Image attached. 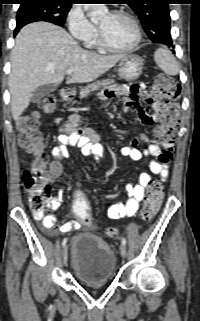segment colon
<instances>
[{"label": "colon", "instance_id": "obj_1", "mask_svg": "<svg viewBox=\"0 0 200 321\" xmlns=\"http://www.w3.org/2000/svg\"><path fill=\"white\" fill-rule=\"evenodd\" d=\"M179 96L180 86L178 83L162 73L155 77L151 91L145 94V98L149 101L159 102L165 108L163 122L157 127V136L167 145L165 151L166 159H171L172 157V146L179 122L178 108L174 101ZM55 104V98L47 96L41 101L40 107L45 113H51L55 109ZM18 128L20 145L33 156L29 167L23 171V187L28 195L31 211L35 216L43 217L47 213L51 182L57 173V168L53 163L49 162L43 152L37 116L23 117L18 123ZM80 185H83V182H80ZM162 197L161 184L157 181H152L141 210L143 221L149 222L154 218L160 208ZM88 201L89 198L85 196L84 191H73L70 210L73 212L76 222H83L90 226L92 219ZM108 235L116 237L118 231L115 228H111L108 230Z\"/></svg>", "mask_w": 200, "mask_h": 321}]
</instances>
